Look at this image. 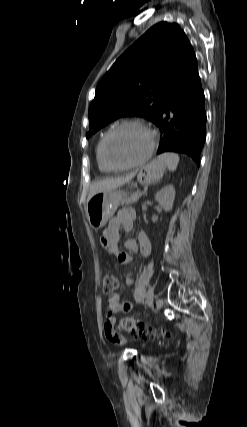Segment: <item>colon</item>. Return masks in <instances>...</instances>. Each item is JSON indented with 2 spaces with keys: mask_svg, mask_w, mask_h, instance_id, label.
I'll use <instances>...</instances> for the list:
<instances>
[{
  "mask_svg": "<svg viewBox=\"0 0 247 427\" xmlns=\"http://www.w3.org/2000/svg\"><path fill=\"white\" fill-rule=\"evenodd\" d=\"M118 288V279L113 274H106L103 279V291L106 294L114 293ZM120 326L123 330L131 333H143L145 327L135 317H125L121 319ZM163 337H168V333L162 332Z\"/></svg>",
  "mask_w": 247,
  "mask_h": 427,
  "instance_id": "obj_1",
  "label": "colon"
}]
</instances>
